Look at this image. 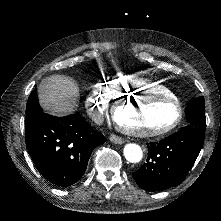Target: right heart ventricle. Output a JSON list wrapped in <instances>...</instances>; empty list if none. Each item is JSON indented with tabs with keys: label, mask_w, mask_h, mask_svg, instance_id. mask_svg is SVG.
Wrapping results in <instances>:
<instances>
[{
	"label": "right heart ventricle",
	"mask_w": 221,
	"mask_h": 221,
	"mask_svg": "<svg viewBox=\"0 0 221 221\" xmlns=\"http://www.w3.org/2000/svg\"><path fill=\"white\" fill-rule=\"evenodd\" d=\"M109 95L112 98L125 99L133 97H144L153 94L158 99H174L175 91L167 90L163 85L150 83L147 79L140 80L133 75H117L108 86ZM182 100V98H181Z\"/></svg>",
	"instance_id": "1"
}]
</instances>
